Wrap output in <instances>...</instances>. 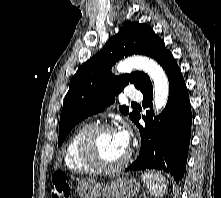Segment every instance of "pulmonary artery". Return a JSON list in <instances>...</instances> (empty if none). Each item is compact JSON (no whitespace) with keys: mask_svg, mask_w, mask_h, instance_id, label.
Masks as SVG:
<instances>
[{"mask_svg":"<svg viewBox=\"0 0 221 198\" xmlns=\"http://www.w3.org/2000/svg\"><path fill=\"white\" fill-rule=\"evenodd\" d=\"M127 96L131 100H141L142 99V93L136 89H129L127 92Z\"/></svg>","mask_w":221,"mask_h":198,"instance_id":"pulmonary-artery-1","label":"pulmonary artery"}]
</instances>
